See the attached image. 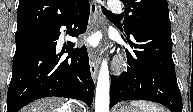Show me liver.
<instances>
[{"label": "liver", "instance_id": "1", "mask_svg": "<svg viewBox=\"0 0 193 112\" xmlns=\"http://www.w3.org/2000/svg\"><path fill=\"white\" fill-rule=\"evenodd\" d=\"M77 110L78 107L52 97L40 99L21 109V112H77Z\"/></svg>", "mask_w": 193, "mask_h": 112}]
</instances>
